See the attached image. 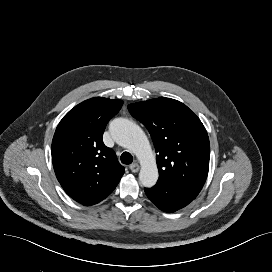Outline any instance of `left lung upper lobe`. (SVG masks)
<instances>
[{"mask_svg": "<svg viewBox=\"0 0 272 272\" xmlns=\"http://www.w3.org/2000/svg\"><path fill=\"white\" fill-rule=\"evenodd\" d=\"M128 110L152 137L158 182L177 183L200 192L209 170L210 144L195 113L165 97L130 104Z\"/></svg>", "mask_w": 272, "mask_h": 272, "instance_id": "1", "label": "left lung upper lobe"}]
</instances>
